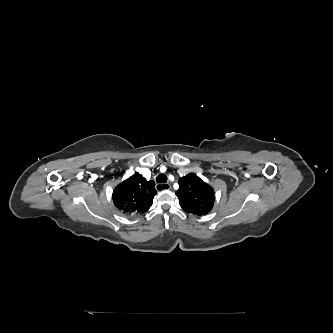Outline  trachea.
<instances>
[{
	"label": "trachea",
	"instance_id": "3493384b",
	"mask_svg": "<svg viewBox=\"0 0 333 333\" xmlns=\"http://www.w3.org/2000/svg\"><path fill=\"white\" fill-rule=\"evenodd\" d=\"M157 183H166L167 182V176L165 174H160L156 178Z\"/></svg>",
	"mask_w": 333,
	"mask_h": 333
}]
</instances>
